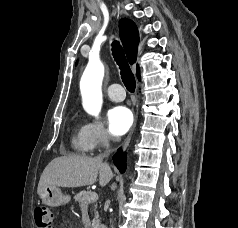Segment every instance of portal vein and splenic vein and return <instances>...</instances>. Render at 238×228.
Segmentation results:
<instances>
[{
  "mask_svg": "<svg viewBox=\"0 0 238 228\" xmlns=\"http://www.w3.org/2000/svg\"><path fill=\"white\" fill-rule=\"evenodd\" d=\"M88 199L97 200L98 199L97 193L96 192H91L90 195L88 196Z\"/></svg>",
  "mask_w": 238,
  "mask_h": 228,
  "instance_id": "18ae733b",
  "label": "portal vein and splenic vein"
}]
</instances>
